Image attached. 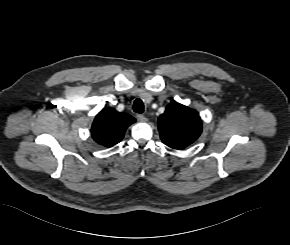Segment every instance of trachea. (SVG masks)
Returning <instances> with one entry per match:
<instances>
[{
    "instance_id": "trachea-1",
    "label": "trachea",
    "mask_w": 290,
    "mask_h": 245,
    "mask_svg": "<svg viewBox=\"0 0 290 245\" xmlns=\"http://www.w3.org/2000/svg\"><path fill=\"white\" fill-rule=\"evenodd\" d=\"M133 110L134 112L139 113V114L144 112V104L141 99L138 98L134 101Z\"/></svg>"
}]
</instances>
